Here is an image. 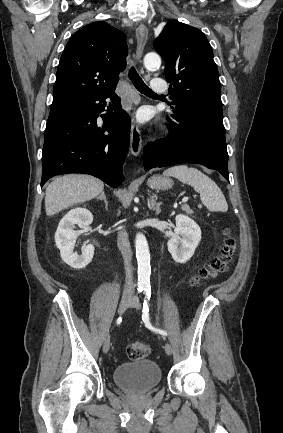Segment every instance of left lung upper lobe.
Masks as SVG:
<instances>
[{
    "label": "left lung upper lobe",
    "mask_w": 283,
    "mask_h": 433,
    "mask_svg": "<svg viewBox=\"0 0 283 433\" xmlns=\"http://www.w3.org/2000/svg\"><path fill=\"white\" fill-rule=\"evenodd\" d=\"M153 46L165 60L166 80L173 85L169 89L175 105L171 119L211 124L224 131L219 74L205 35L197 28L170 21Z\"/></svg>",
    "instance_id": "1"
}]
</instances>
